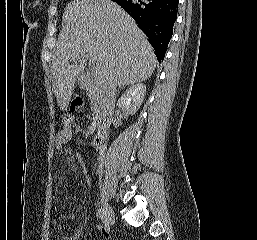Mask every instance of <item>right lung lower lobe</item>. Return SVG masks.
Returning <instances> with one entry per match:
<instances>
[{
    "instance_id": "1",
    "label": "right lung lower lobe",
    "mask_w": 257,
    "mask_h": 240,
    "mask_svg": "<svg viewBox=\"0 0 257 240\" xmlns=\"http://www.w3.org/2000/svg\"><path fill=\"white\" fill-rule=\"evenodd\" d=\"M138 23L163 61L177 18L179 0H113Z\"/></svg>"
}]
</instances>
